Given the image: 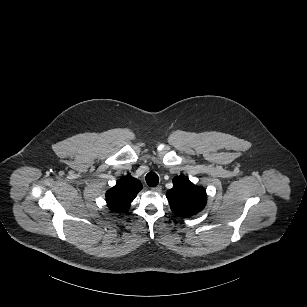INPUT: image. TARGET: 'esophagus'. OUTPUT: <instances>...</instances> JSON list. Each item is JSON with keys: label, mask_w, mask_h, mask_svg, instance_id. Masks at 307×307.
Listing matches in <instances>:
<instances>
[{"label": "esophagus", "mask_w": 307, "mask_h": 307, "mask_svg": "<svg viewBox=\"0 0 307 307\" xmlns=\"http://www.w3.org/2000/svg\"><path fill=\"white\" fill-rule=\"evenodd\" d=\"M161 190H162L161 185H158V186L152 188V191H155V192H161Z\"/></svg>", "instance_id": "obj_1"}]
</instances>
